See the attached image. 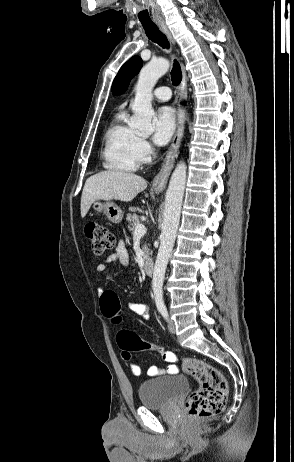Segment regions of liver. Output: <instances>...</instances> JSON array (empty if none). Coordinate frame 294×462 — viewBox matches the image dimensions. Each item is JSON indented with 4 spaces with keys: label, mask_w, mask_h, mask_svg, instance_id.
Returning a JSON list of instances; mask_svg holds the SVG:
<instances>
[{
    "label": "liver",
    "mask_w": 294,
    "mask_h": 462,
    "mask_svg": "<svg viewBox=\"0 0 294 462\" xmlns=\"http://www.w3.org/2000/svg\"><path fill=\"white\" fill-rule=\"evenodd\" d=\"M146 188V180L130 172L109 170L92 175L83 188L81 217L86 216L90 206L97 200L130 202Z\"/></svg>",
    "instance_id": "6515ba94"
}]
</instances>
